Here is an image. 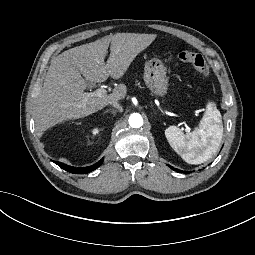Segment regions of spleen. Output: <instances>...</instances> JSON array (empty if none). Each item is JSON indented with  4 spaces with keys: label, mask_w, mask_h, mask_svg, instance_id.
Segmentation results:
<instances>
[{
    "label": "spleen",
    "mask_w": 255,
    "mask_h": 255,
    "mask_svg": "<svg viewBox=\"0 0 255 255\" xmlns=\"http://www.w3.org/2000/svg\"><path fill=\"white\" fill-rule=\"evenodd\" d=\"M202 126V130L195 127L193 132L186 136L175 126L165 130L169 145L186 163L200 164L210 159L219 148L223 126L216 102L206 103Z\"/></svg>",
    "instance_id": "obj_1"
}]
</instances>
